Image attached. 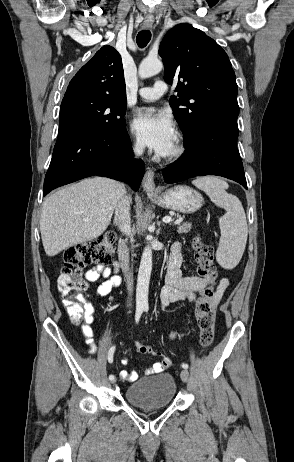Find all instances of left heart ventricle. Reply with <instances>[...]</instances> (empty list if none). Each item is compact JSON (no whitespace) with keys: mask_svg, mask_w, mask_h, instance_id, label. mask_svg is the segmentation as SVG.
Instances as JSON below:
<instances>
[{"mask_svg":"<svg viewBox=\"0 0 294 462\" xmlns=\"http://www.w3.org/2000/svg\"><path fill=\"white\" fill-rule=\"evenodd\" d=\"M174 144H175V143H174ZM173 147H174V145L171 147V149L169 150V152L173 149ZM169 152H168V153H169Z\"/></svg>","mask_w":294,"mask_h":462,"instance_id":"left-heart-ventricle-1","label":"left heart ventricle"}]
</instances>
